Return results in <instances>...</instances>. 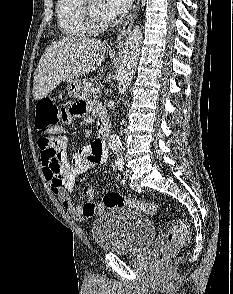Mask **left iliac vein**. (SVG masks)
<instances>
[{
  "label": "left iliac vein",
  "mask_w": 233,
  "mask_h": 294,
  "mask_svg": "<svg viewBox=\"0 0 233 294\" xmlns=\"http://www.w3.org/2000/svg\"><path fill=\"white\" fill-rule=\"evenodd\" d=\"M124 175H125L126 179L129 181V185H130L132 190H134L136 192L141 191V186L137 182L130 181V177H131V171L130 170H126L124 172Z\"/></svg>",
  "instance_id": "4c4485c4"
}]
</instances>
